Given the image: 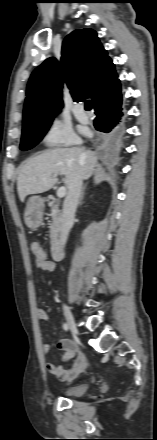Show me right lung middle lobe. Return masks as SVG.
<instances>
[{
  "mask_svg": "<svg viewBox=\"0 0 157 440\" xmlns=\"http://www.w3.org/2000/svg\"><path fill=\"white\" fill-rule=\"evenodd\" d=\"M51 122L52 121H47L23 126L20 149L28 150L38 144L48 131Z\"/></svg>",
  "mask_w": 157,
  "mask_h": 440,
  "instance_id": "right-lung-middle-lobe-1",
  "label": "right lung middle lobe"
}]
</instances>
